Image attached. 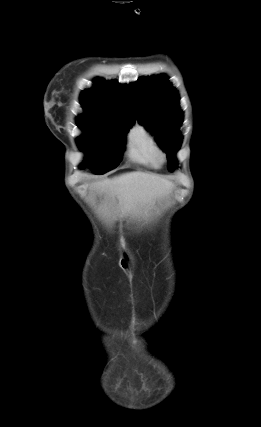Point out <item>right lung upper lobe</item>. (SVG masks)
<instances>
[{"label": "right lung upper lobe", "mask_w": 261, "mask_h": 427, "mask_svg": "<svg viewBox=\"0 0 261 427\" xmlns=\"http://www.w3.org/2000/svg\"><path fill=\"white\" fill-rule=\"evenodd\" d=\"M80 102L85 111L80 117L135 122L127 85L97 79L94 88L81 93Z\"/></svg>", "instance_id": "right-lung-upper-lobe-1"}]
</instances>
